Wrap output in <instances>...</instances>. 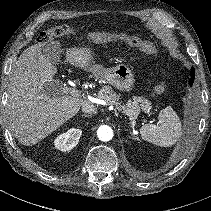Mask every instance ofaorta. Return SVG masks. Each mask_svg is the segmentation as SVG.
Wrapping results in <instances>:
<instances>
[{
  "label": "aorta",
  "mask_w": 211,
  "mask_h": 211,
  "mask_svg": "<svg viewBox=\"0 0 211 211\" xmlns=\"http://www.w3.org/2000/svg\"><path fill=\"white\" fill-rule=\"evenodd\" d=\"M97 136L101 141H109L113 137V130L107 125H102L97 130Z\"/></svg>",
  "instance_id": "obj_1"
}]
</instances>
